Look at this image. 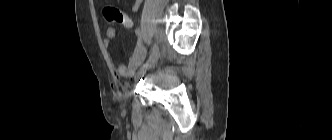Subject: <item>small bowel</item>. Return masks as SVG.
Segmentation results:
<instances>
[{
    "mask_svg": "<svg viewBox=\"0 0 332 140\" xmlns=\"http://www.w3.org/2000/svg\"><path fill=\"white\" fill-rule=\"evenodd\" d=\"M143 0H135V2L132 5V12H137L140 8V5ZM116 37V31L113 27H108L106 29V37L103 39V44L106 47H109L111 44V41L114 40ZM146 57V51L143 45L140 41H138L132 56L130 57L129 61L125 65H120L117 68V73L119 76L123 78H131L134 76L136 70L139 68V66L143 63L144 59Z\"/></svg>",
    "mask_w": 332,
    "mask_h": 140,
    "instance_id": "c3829d8e",
    "label": "small bowel"
}]
</instances>
